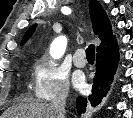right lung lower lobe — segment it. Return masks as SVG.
<instances>
[{
    "label": "right lung lower lobe",
    "instance_id": "98d812e1",
    "mask_svg": "<svg viewBox=\"0 0 133 118\" xmlns=\"http://www.w3.org/2000/svg\"><path fill=\"white\" fill-rule=\"evenodd\" d=\"M118 61L119 54L116 39L104 47L97 49L95 83L92 87V94L89 96L92 106L100 104L103 97L106 96L116 72ZM86 103V98H77V110L79 114L85 112Z\"/></svg>",
    "mask_w": 133,
    "mask_h": 118
}]
</instances>
